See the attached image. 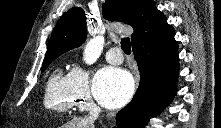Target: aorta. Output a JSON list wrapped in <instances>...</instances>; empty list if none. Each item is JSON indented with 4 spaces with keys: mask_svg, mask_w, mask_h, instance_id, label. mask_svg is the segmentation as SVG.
Here are the masks:
<instances>
[{
    "mask_svg": "<svg viewBox=\"0 0 221 128\" xmlns=\"http://www.w3.org/2000/svg\"><path fill=\"white\" fill-rule=\"evenodd\" d=\"M104 37L97 36L88 41L83 53V60L86 64H93L101 55L104 47Z\"/></svg>",
    "mask_w": 221,
    "mask_h": 128,
    "instance_id": "obj_1",
    "label": "aorta"
}]
</instances>
